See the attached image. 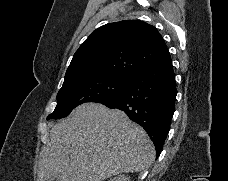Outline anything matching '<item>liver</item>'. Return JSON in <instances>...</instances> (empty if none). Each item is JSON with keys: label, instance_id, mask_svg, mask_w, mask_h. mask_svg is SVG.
Instances as JSON below:
<instances>
[{"label": "liver", "instance_id": "6515ba94", "mask_svg": "<svg viewBox=\"0 0 228 181\" xmlns=\"http://www.w3.org/2000/svg\"><path fill=\"white\" fill-rule=\"evenodd\" d=\"M42 149L37 181H105L120 173L150 167L154 145L146 131L123 111L100 103H83L53 125Z\"/></svg>", "mask_w": 228, "mask_h": 181}]
</instances>
